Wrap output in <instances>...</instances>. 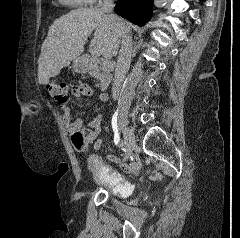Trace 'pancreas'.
Here are the masks:
<instances>
[{
	"label": "pancreas",
	"instance_id": "obj_1",
	"mask_svg": "<svg viewBox=\"0 0 240 238\" xmlns=\"http://www.w3.org/2000/svg\"><path fill=\"white\" fill-rule=\"evenodd\" d=\"M96 79L102 81L103 80V74L98 75Z\"/></svg>",
	"mask_w": 240,
	"mask_h": 238
}]
</instances>
